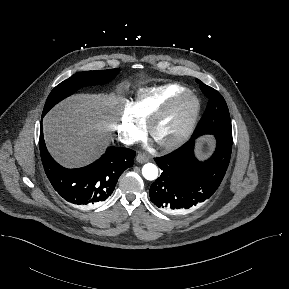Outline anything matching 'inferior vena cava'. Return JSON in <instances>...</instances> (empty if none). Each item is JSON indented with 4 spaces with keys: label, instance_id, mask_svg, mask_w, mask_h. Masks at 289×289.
Masks as SVG:
<instances>
[{
    "label": "inferior vena cava",
    "instance_id": "obj_1",
    "mask_svg": "<svg viewBox=\"0 0 289 289\" xmlns=\"http://www.w3.org/2000/svg\"><path fill=\"white\" fill-rule=\"evenodd\" d=\"M118 139L120 142H122L123 144H126V145H131L134 143V140L129 136L121 135V136H119Z\"/></svg>",
    "mask_w": 289,
    "mask_h": 289
}]
</instances>
